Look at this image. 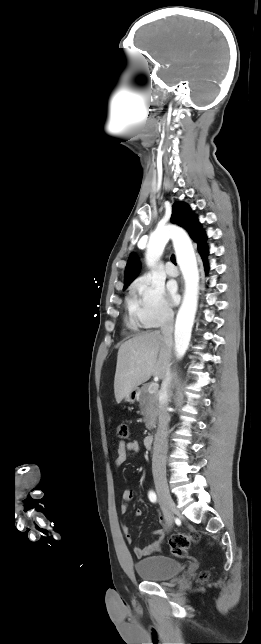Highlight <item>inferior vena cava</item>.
<instances>
[{"instance_id": "obj_1", "label": "inferior vena cava", "mask_w": 261, "mask_h": 644, "mask_svg": "<svg viewBox=\"0 0 261 644\" xmlns=\"http://www.w3.org/2000/svg\"><path fill=\"white\" fill-rule=\"evenodd\" d=\"M174 326V313L171 310H166L163 313V322L161 325V332L164 337L165 343L172 346V333ZM173 388V375L171 373L170 365L167 369L165 378L163 379L160 393L159 402V420L158 428L154 439L153 456H152V472L153 474L166 473V456L168 449V424L170 416L168 413V404L170 401V394Z\"/></svg>"}]
</instances>
